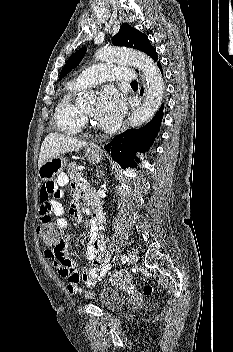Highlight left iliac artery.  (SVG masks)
<instances>
[{
	"label": "left iliac artery",
	"mask_w": 233,
	"mask_h": 352,
	"mask_svg": "<svg viewBox=\"0 0 233 352\" xmlns=\"http://www.w3.org/2000/svg\"><path fill=\"white\" fill-rule=\"evenodd\" d=\"M128 260H129V258H128L127 255L124 254V255L121 256V261H122L123 263H127Z\"/></svg>",
	"instance_id": "obj_1"
}]
</instances>
